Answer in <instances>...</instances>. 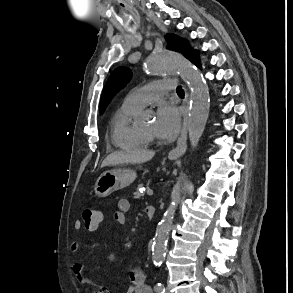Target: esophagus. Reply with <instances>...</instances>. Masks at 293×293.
<instances>
[{"instance_id": "1", "label": "esophagus", "mask_w": 293, "mask_h": 293, "mask_svg": "<svg viewBox=\"0 0 293 293\" xmlns=\"http://www.w3.org/2000/svg\"><path fill=\"white\" fill-rule=\"evenodd\" d=\"M187 125H188V116H186L184 119L182 134L180 138L178 139L177 146L169 152V156L177 157L185 153L187 148L186 137H185L186 131H187Z\"/></svg>"}]
</instances>
